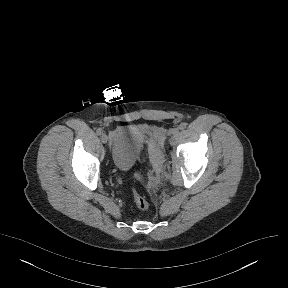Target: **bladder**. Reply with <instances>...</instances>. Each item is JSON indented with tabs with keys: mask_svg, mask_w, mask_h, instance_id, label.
Listing matches in <instances>:
<instances>
[{
	"mask_svg": "<svg viewBox=\"0 0 288 288\" xmlns=\"http://www.w3.org/2000/svg\"><path fill=\"white\" fill-rule=\"evenodd\" d=\"M146 132L137 126H121L110 134L109 148L113 165L120 171L130 170L145 144Z\"/></svg>",
	"mask_w": 288,
	"mask_h": 288,
	"instance_id": "obj_1",
	"label": "bladder"
}]
</instances>
